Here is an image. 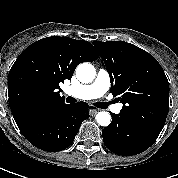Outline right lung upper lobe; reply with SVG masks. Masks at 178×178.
I'll return each instance as SVG.
<instances>
[{"label":"right lung upper lobe","mask_w":178,"mask_h":178,"mask_svg":"<svg viewBox=\"0 0 178 178\" xmlns=\"http://www.w3.org/2000/svg\"><path fill=\"white\" fill-rule=\"evenodd\" d=\"M98 57L89 42L68 37H47L29 45L8 77L9 105L15 122L65 104L57 90H61L59 84L71 79L78 64Z\"/></svg>","instance_id":"1"}]
</instances>
